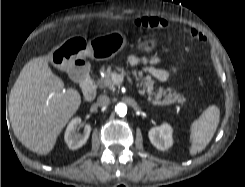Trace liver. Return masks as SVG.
<instances>
[{
    "mask_svg": "<svg viewBox=\"0 0 245 187\" xmlns=\"http://www.w3.org/2000/svg\"><path fill=\"white\" fill-rule=\"evenodd\" d=\"M50 54L34 58L21 70L9 95V117L16 138L29 150L46 155L76 113L81 96L50 69Z\"/></svg>",
    "mask_w": 245,
    "mask_h": 187,
    "instance_id": "1",
    "label": "liver"
}]
</instances>
